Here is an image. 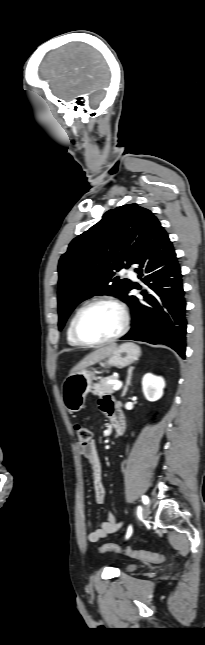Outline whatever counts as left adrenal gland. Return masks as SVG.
<instances>
[{
  "label": "left adrenal gland",
  "instance_id": "a2214340",
  "mask_svg": "<svg viewBox=\"0 0 205 645\" xmlns=\"http://www.w3.org/2000/svg\"><path fill=\"white\" fill-rule=\"evenodd\" d=\"M134 367H131L128 369V375H127V380H126V385L124 386L123 392H122V397H124L128 391V387L131 384V377H132V372H133Z\"/></svg>",
  "mask_w": 205,
  "mask_h": 645
}]
</instances>
